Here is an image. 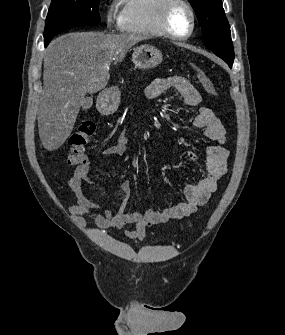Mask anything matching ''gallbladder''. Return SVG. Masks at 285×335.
Returning <instances> with one entry per match:
<instances>
[{
  "instance_id": "bac80fb5",
  "label": "gallbladder",
  "mask_w": 285,
  "mask_h": 335,
  "mask_svg": "<svg viewBox=\"0 0 285 335\" xmlns=\"http://www.w3.org/2000/svg\"><path fill=\"white\" fill-rule=\"evenodd\" d=\"M93 106V98H84L83 102H81L82 110H89Z\"/></svg>"
}]
</instances>
